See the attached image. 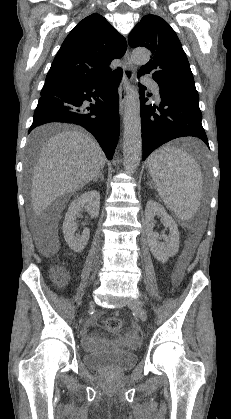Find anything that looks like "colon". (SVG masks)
I'll return each instance as SVG.
<instances>
[{"label":"colon","mask_w":231,"mask_h":419,"mask_svg":"<svg viewBox=\"0 0 231 419\" xmlns=\"http://www.w3.org/2000/svg\"><path fill=\"white\" fill-rule=\"evenodd\" d=\"M105 327L109 332L120 333L122 330V322L117 317H109L105 320Z\"/></svg>","instance_id":"obj_1"}]
</instances>
